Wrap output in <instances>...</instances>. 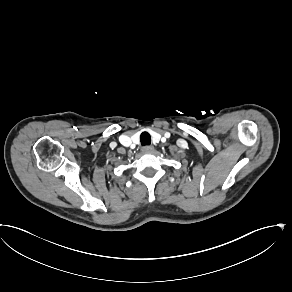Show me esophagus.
<instances>
[{
    "mask_svg": "<svg viewBox=\"0 0 292 292\" xmlns=\"http://www.w3.org/2000/svg\"><path fill=\"white\" fill-rule=\"evenodd\" d=\"M154 150H155V148H154V146H152V145H148V146H143V147H142V151H143L144 153L151 154V153L154 152Z\"/></svg>",
    "mask_w": 292,
    "mask_h": 292,
    "instance_id": "esophagus-1",
    "label": "esophagus"
}]
</instances>
